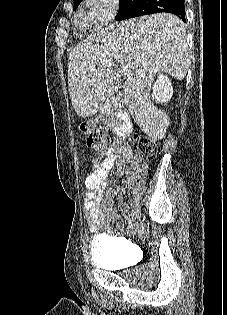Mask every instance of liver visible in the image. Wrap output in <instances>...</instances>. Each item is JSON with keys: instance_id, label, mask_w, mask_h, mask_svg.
<instances>
[{"instance_id": "obj_1", "label": "liver", "mask_w": 227, "mask_h": 315, "mask_svg": "<svg viewBox=\"0 0 227 315\" xmlns=\"http://www.w3.org/2000/svg\"><path fill=\"white\" fill-rule=\"evenodd\" d=\"M110 61L111 66L105 64ZM115 63L128 67L123 73ZM190 64L186 26L169 13L114 23L77 45L68 56V90L81 117L93 116L109 102L125 77L123 97L135 123L152 139H163L169 116L150 100L158 74L182 80Z\"/></svg>"}]
</instances>
